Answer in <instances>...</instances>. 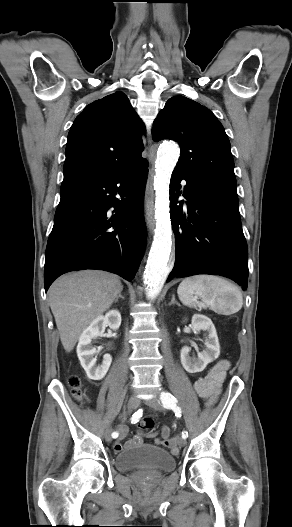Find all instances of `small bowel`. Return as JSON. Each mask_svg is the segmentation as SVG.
Here are the masks:
<instances>
[{
	"mask_svg": "<svg viewBox=\"0 0 292 527\" xmlns=\"http://www.w3.org/2000/svg\"><path fill=\"white\" fill-rule=\"evenodd\" d=\"M229 368V362L226 360L219 361L216 365H214L207 373L206 376L201 377L197 379L194 383V389L199 395V397L206 401L208 405L213 404L218 395L220 394L221 385L223 383V380L226 375V371ZM120 432V440L123 439L127 433V428L125 426L119 427ZM160 438H155L156 444H166L168 445L172 451L175 453L177 452V440L175 438H171L170 434L172 432V429L170 426H163L161 429ZM147 436L149 437H155V432L149 431L147 432ZM118 440L114 443V450L117 452H120L123 450L124 446L121 443V441ZM142 443V437L140 434H137L134 438L129 440L125 447H132L136 445H140Z\"/></svg>",
	"mask_w": 292,
	"mask_h": 527,
	"instance_id": "small-bowel-1",
	"label": "small bowel"
}]
</instances>
